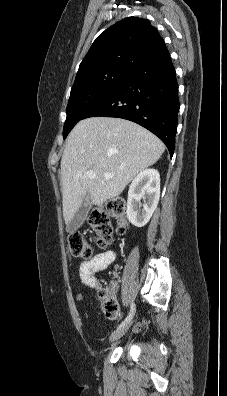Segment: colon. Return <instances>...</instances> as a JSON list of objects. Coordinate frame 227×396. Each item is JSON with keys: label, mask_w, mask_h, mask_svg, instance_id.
Masks as SVG:
<instances>
[{"label": "colon", "mask_w": 227, "mask_h": 396, "mask_svg": "<svg viewBox=\"0 0 227 396\" xmlns=\"http://www.w3.org/2000/svg\"><path fill=\"white\" fill-rule=\"evenodd\" d=\"M113 220L117 222L114 228ZM89 223L95 234L97 246L104 248L112 240L115 231L123 234L127 228L125 219V203L120 197L113 198L105 204L96 207L89 217ZM68 248L72 256L88 259L92 255V247L88 240L80 233H71L68 236ZM97 295L102 310L107 317L114 318L118 314V305L111 293L97 285Z\"/></svg>", "instance_id": "1"}]
</instances>
